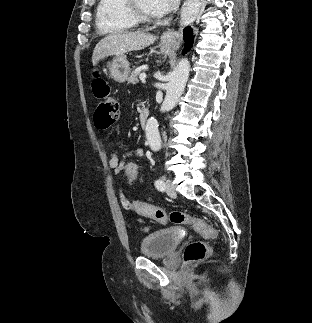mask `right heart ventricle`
Returning <instances> with one entry per match:
<instances>
[{
    "instance_id": "obj_1",
    "label": "right heart ventricle",
    "mask_w": 312,
    "mask_h": 323,
    "mask_svg": "<svg viewBox=\"0 0 312 323\" xmlns=\"http://www.w3.org/2000/svg\"><path fill=\"white\" fill-rule=\"evenodd\" d=\"M126 2L100 0L95 5L94 25L99 33H117V29H134L136 18H130Z\"/></svg>"
}]
</instances>
